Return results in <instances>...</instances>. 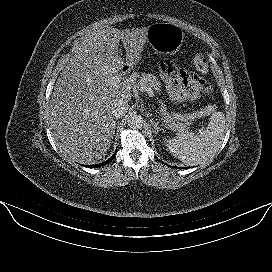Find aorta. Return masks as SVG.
<instances>
[{"label":"aorta","instance_id":"aorta-1","mask_svg":"<svg viewBox=\"0 0 272 272\" xmlns=\"http://www.w3.org/2000/svg\"><path fill=\"white\" fill-rule=\"evenodd\" d=\"M143 125V118L140 115L134 114L128 120V126L132 129H138Z\"/></svg>","mask_w":272,"mask_h":272}]
</instances>
